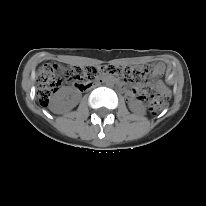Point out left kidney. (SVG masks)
Segmentation results:
<instances>
[{
  "label": "left kidney",
  "mask_w": 206,
  "mask_h": 206,
  "mask_svg": "<svg viewBox=\"0 0 206 206\" xmlns=\"http://www.w3.org/2000/svg\"><path fill=\"white\" fill-rule=\"evenodd\" d=\"M130 110L132 112L140 113V112H143L144 107H143L141 102H139V101H132L130 103Z\"/></svg>",
  "instance_id": "obj_1"
}]
</instances>
